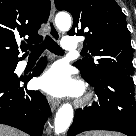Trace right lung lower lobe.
I'll list each match as a JSON object with an SVG mask.
<instances>
[{
    "mask_svg": "<svg viewBox=\"0 0 136 136\" xmlns=\"http://www.w3.org/2000/svg\"><path fill=\"white\" fill-rule=\"evenodd\" d=\"M46 59L28 77L0 81V123L18 128L31 136H42L46 119L51 110L40 91L27 90V82L40 75Z\"/></svg>",
    "mask_w": 136,
    "mask_h": 136,
    "instance_id": "right-lung-lower-lobe-1",
    "label": "right lung lower lobe"
}]
</instances>
